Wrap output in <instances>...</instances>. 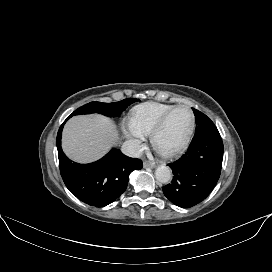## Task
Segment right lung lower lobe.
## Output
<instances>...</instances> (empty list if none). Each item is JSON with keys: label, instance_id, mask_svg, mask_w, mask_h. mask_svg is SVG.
<instances>
[{"label": "right lung lower lobe", "instance_id": "right-lung-lower-lobe-1", "mask_svg": "<svg viewBox=\"0 0 272 272\" xmlns=\"http://www.w3.org/2000/svg\"><path fill=\"white\" fill-rule=\"evenodd\" d=\"M57 134L59 168L66 187L81 201L104 207L115 201L127 188L129 174L140 170L142 161L130 158L118 149H112L100 160L90 164L72 162L61 148V134L65 122Z\"/></svg>", "mask_w": 272, "mask_h": 272}]
</instances>
